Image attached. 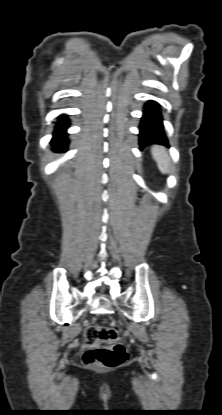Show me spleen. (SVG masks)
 I'll return each instance as SVG.
<instances>
[{
  "instance_id": "spleen-1",
  "label": "spleen",
  "mask_w": 222,
  "mask_h": 415,
  "mask_svg": "<svg viewBox=\"0 0 222 415\" xmlns=\"http://www.w3.org/2000/svg\"><path fill=\"white\" fill-rule=\"evenodd\" d=\"M151 153L159 170L163 174H168L170 172L171 160L166 149L163 146L154 145L151 149Z\"/></svg>"
}]
</instances>
